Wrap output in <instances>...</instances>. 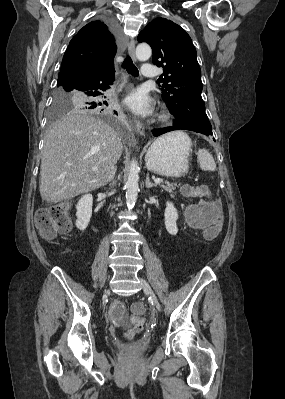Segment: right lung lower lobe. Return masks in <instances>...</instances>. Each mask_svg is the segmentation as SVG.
I'll return each mask as SVG.
<instances>
[{
  "label": "right lung lower lobe",
  "mask_w": 285,
  "mask_h": 399,
  "mask_svg": "<svg viewBox=\"0 0 285 399\" xmlns=\"http://www.w3.org/2000/svg\"><path fill=\"white\" fill-rule=\"evenodd\" d=\"M106 22L111 31L116 35L117 30L115 25L108 20ZM114 73L115 71L83 72L65 85L81 90L90 97H97L102 94V91H105L107 88H109V85L113 80ZM98 104L102 105L101 102Z\"/></svg>",
  "instance_id": "obj_1"
}]
</instances>
